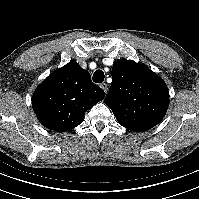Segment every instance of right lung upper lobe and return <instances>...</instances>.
Segmentation results:
<instances>
[{
  "label": "right lung upper lobe",
  "instance_id": "right-lung-upper-lobe-1",
  "mask_svg": "<svg viewBox=\"0 0 199 199\" xmlns=\"http://www.w3.org/2000/svg\"><path fill=\"white\" fill-rule=\"evenodd\" d=\"M104 96V91L92 83L87 70L69 62L36 88L32 107L43 126L65 132L78 126L85 112Z\"/></svg>",
  "mask_w": 199,
  "mask_h": 199
}]
</instances>
